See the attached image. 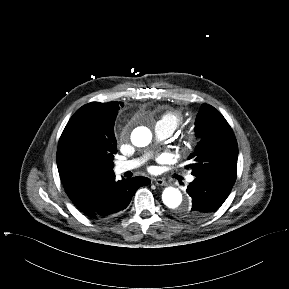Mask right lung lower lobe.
<instances>
[{
    "label": "right lung lower lobe",
    "mask_w": 289,
    "mask_h": 289,
    "mask_svg": "<svg viewBox=\"0 0 289 289\" xmlns=\"http://www.w3.org/2000/svg\"><path fill=\"white\" fill-rule=\"evenodd\" d=\"M149 183L150 180L146 177L101 182L93 188L86 205L78 208L93 219L113 217L127 208L140 186Z\"/></svg>",
    "instance_id": "obj_1"
}]
</instances>
